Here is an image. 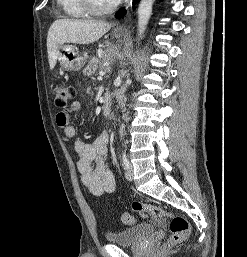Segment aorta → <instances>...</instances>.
Wrapping results in <instances>:
<instances>
[{"label": "aorta", "instance_id": "aorta-1", "mask_svg": "<svg viewBox=\"0 0 247 257\" xmlns=\"http://www.w3.org/2000/svg\"><path fill=\"white\" fill-rule=\"evenodd\" d=\"M154 0H141L138 6L137 14V35L138 40L142 39L152 14Z\"/></svg>", "mask_w": 247, "mask_h": 257}]
</instances>
